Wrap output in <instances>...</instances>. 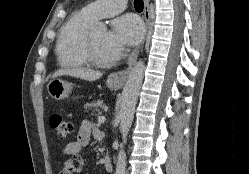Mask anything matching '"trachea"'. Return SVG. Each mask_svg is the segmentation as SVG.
<instances>
[{
  "label": "trachea",
  "instance_id": "1",
  "mask_svg": "<svg viewBox=\"0 0 249 174\" xmlns=\"http://www.w3.org/2000/svg\"><path fill=\"white\" fill-rule=\"evenodd\" d=\"M135 10L141 12L144 8V3L142 0H134Z\"/></svg>",
  "mask_w": 249,
  "mask_h": 174
}]
</instances>
